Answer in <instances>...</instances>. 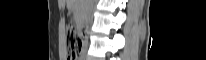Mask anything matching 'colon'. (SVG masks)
Wrapping results in <instances>:
<instances>
[{
    "label": "colon",
    "mask_w": 206,
    "mask_h": 60,
    "mask_svg": "<svg viewBox=\"0 0 206 60\" xmlns=\"http://www.w3.org/2000/svg\"><path fill=\"white\" fill-rule=\"evenodd\" d=\"M66 41L68 45V60L77 58L82 47V41L77 34L75 27L68 26L66 29Z\"/></svg>",
    "instance_id": "1"
}]
</instances>
